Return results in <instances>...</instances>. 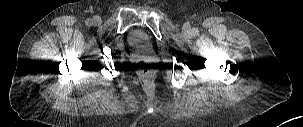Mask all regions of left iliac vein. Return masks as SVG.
Listing matches in <instances>:
<instances>
[{
  "instance_id": "4c4485c4",
  "label": "left iliac vein",
  "mask_w": 303,
  "mask_h": 127,
  "mask_svg": "<svg viewBox=\"0 0 303 127\" xmlns=\"http://www.w3.org/2000/svg\"><path fill=\"white\" fill-rule=\"evenodd\" d=\"M184 32L186 33V34H190L191 33V29L188 27V26H184Z\"/></svg>"
}]
</instances>
